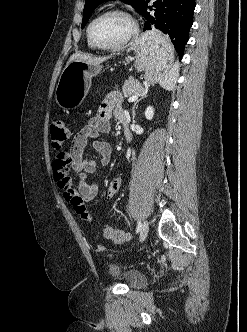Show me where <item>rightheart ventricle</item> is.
<instances>
[{
    "label": "right heart ventricle",
    "instance_id": "1",
    "mask_svg": "<svg viewBox=\"0 0 247 332\" xmlns=\"http://www.w3.org/2000/svg\"><path fill=\"white\" fill-rule=\"evenodd\" d=\"M88 45H89L91 48H94V46L91 44V42L89 41V39H88Z\"/></svg>",
    "mask_w": 247,
    "mask_h": 332
}]
</instances>
